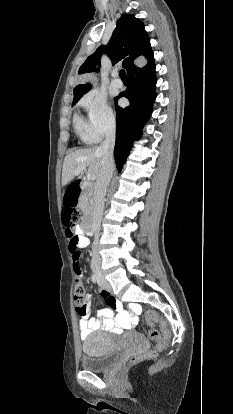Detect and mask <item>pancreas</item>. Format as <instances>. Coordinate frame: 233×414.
<instances>
[{"instance_id":"pancreas-1","label":"pancreas","mask_w":233,"mask_h":414,"mask_svg":"<svg viewBox=\"0 0 233 414\" xmlns=\"http://www.w3.org/2000/svg\"><path fill=\"white\" fill-rule=\"evenodd\" d=\"M93 202V193L85 191L80 199L79 207L81 208L84 215H87L90 211L88 206L92 205Z\"/></svg>"}]
</instances>
